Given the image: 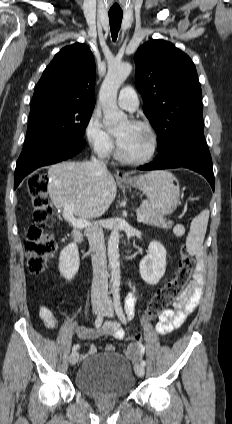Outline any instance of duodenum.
Wrapping results in <instances>:
<instances>
[{
    "mask_svg": "<svg viewBox=\"0 0 232 424\" xmlns=\"http://www.w3.org/2000/svg\"><path fill=\"white\" fill-rule=\"evenodd\" d=\"M73 238L78 245L82 244L83 234L80 230H74L73 231Z\"/></svg>",
    "mask_w": 232,
    "mask_h": 424,
    "instance_id": "obj_1",
    "label": "duodenum"
}]
</instances>
